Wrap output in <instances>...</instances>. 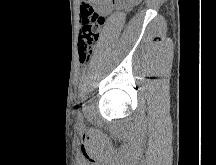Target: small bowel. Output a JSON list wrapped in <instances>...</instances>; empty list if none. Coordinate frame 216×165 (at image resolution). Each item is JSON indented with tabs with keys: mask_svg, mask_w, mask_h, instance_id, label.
<instances>
[{
	"mask_svg": "<svg viewBox=\"0 0 216 165\" xmlns=\"http://www.w3.org/2000/svg\"><path fill=\"white\" fill-rule=\"evenodd\" d=\"M140 0H126L127 6L131 7L139 3ZM112 0H82L81 17L83 10H95L98 14H106L110 9Z\"/></svg>",
	"mask_w": 216,
	"mask_h": 165,
	"instance_id": "obj_1",
	"label": "small bowel"
}]
</instances>
